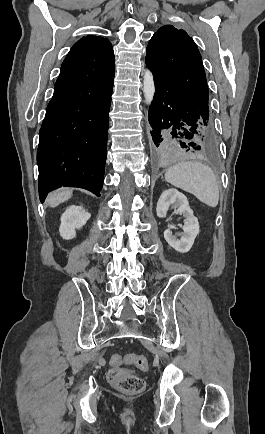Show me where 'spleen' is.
Wrapping results in <instances>:
<instances>
[{
  "label": "spleen",
  "instance_id": "spleen-1",
  "mask_svg": "<svg viewBox=\"0 0 265 434\" xmlns=\"http://www.w3.org/2000/svg\"><path fill=\"white\" fill-rule=\"evenodd\" d=\"M165 180L176 188L190 192L211 208H216L219 202L216 176L213 170L202 162H179L166 170Z\"/></svg>",
  "mask_w": 265,
  "mask_h": 434
}]
</instances>
